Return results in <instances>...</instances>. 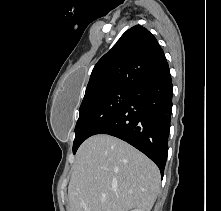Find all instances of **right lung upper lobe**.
<instances>
[{
	"label": "right lung upper lobe",
	"instance_id": "1",
	"mask_svg": "<svg viewBox=\"0 0 221 211\" xmlns=\"http://www.w3.org/2000/svg\"><path fill=\"white\" fill-rule=\"evenodd\" d=\"M167 71V60L156 38L146 28L136 25L97 62L83 100L118 88H132Z\"/></svg>",
	"mask_w": 221,
	"mask_h": 211
}]
</instances>
